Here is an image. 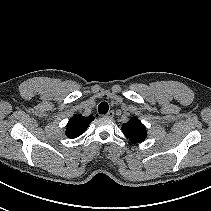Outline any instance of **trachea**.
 <instances>
[{"label": "trachea", "mask_w": 211, "mask_h": 211, "mask_svg": "<svg viewBox=\"0 0 211 211\" xmlns=\"http://www.w3.org/2000/svg\"><path fill=\"white\" fill-rule=\"evenodd\" d=\"M109 110V105L107 102H101L98 106V112L100 114H106Z\"/></svg>", "instance_id": "1"}]
</instances>
